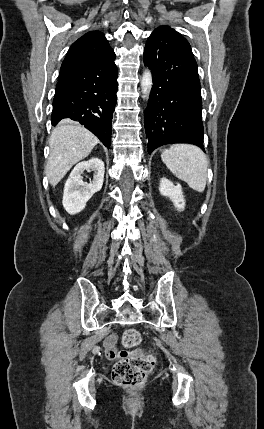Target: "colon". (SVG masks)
<instances>
[{"label":"colon","mask_w":264,"mask_h":429,"mask_svg":"<svg viewBox=\"0 0 264 429\" xmlns=\"http://www.w3.org/2000/svg\"><path fill=\"white\" fill-rule=\"evenodd\" d=\"M142 335L137 329H127L122 335V345L126 349H133L140 345ZM155 358L148 354H127L123 352L112 369V380L122 387H139L143 385L152 371Z\"/></svg>","instance_id":"1"}]
</instances>
